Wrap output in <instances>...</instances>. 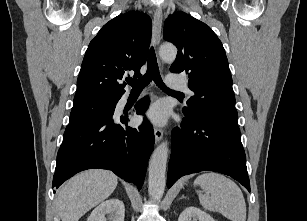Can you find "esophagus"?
<instances>
[{
    "label": "esophagus",
    "mask_w": 307,
    "mask_h": 221,
    "mask_svg": "<svg viewBox=\"0 0 307 221\" xmlns=\"http://www.w3.org/2000/svg\"><path fill=\"white\" fill-rule=\"evenodd\" d=\"M162 20L163 13L161 7H157L154 11V20H153V44L158 46L161 39V29H162ZM155 143H159L163 137V130L161 128H154Z\"/></svg>",
    "instance_id": "1"
}]
</instances>
